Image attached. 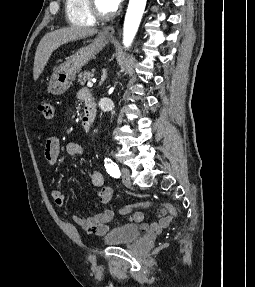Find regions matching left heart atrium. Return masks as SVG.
<instances>
[{
  "label": "left heart atrium",
  "mask_w": 255,
  "mask_h": 287,
  "mask_svg": "<svg viewBox=\"0 0 255 287\" xmlns=\"http://www.w3.org/2000/svg\"><path fill=\"white\" fill-rule=\"evenodd\" d=\"M109 1V3H114V1H116V0H108Z\"/></svg>",
  "instance_id": "obj_1"
}]
</instances>
